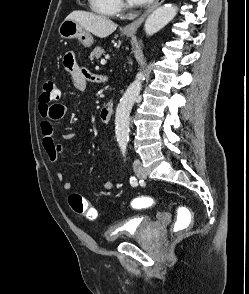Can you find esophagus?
<instances>
[{
	"label": "esophagus",
	"mask_w": 249,
	"mask_h": 294,
	"mask_svg": "<svg viewBox=\"0 0 249 294\" xmlns=\"http://www.w3.org/2000/svg\"><path fill=\"white\" fill-rule=\"evenodd\" d=\"M165 0H156L154 4L148 8V10L136 21L126 25L123 28V31L127 34H134L136 33L137 29L141 26L144 20L157 8L159 7Z\"/></svg>",
	"instance_id": "obj_1"
}]
</instances>
